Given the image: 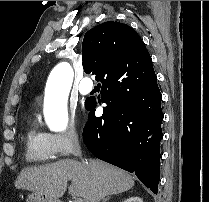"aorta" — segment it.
I'll list each match as a JSON object with an SVG mask.
<instances>
[{
	"label": "aorta",
	"mask_w": 209,
	"mask_h": 202,
	"mask_svg": "<svg viewBox=\"0 0 209 202\" xmlns=\"http://www.w3.org/2000/svg\"><path fill=\"white\" fill-rule=\"evenodd\" d=\"M73 81V70L61 62L51 71L44 95V117L51 131L61 132L68 125L67 98Z\"/></svg>",
	"instance_id": "1"
}]
</instances>
